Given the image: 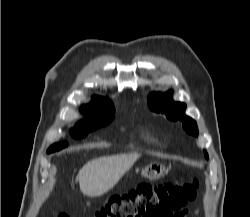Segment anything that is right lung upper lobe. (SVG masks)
Wrapping results in <instances>:
<instances>
[{
    "mask_svg": "<svg viewBox=\"0 0 250 217\" xmlns=\"http://www.w3.org/2000/svg\"><path fill=\"white\" fill-rule=\"evenodd\" d=\"M82 113L86 114L88 118L81 123L89 122L99 116L115 111L112 102L108 98L93 96V100L89 105L81 108Z\"/></svg>",
    "mask_w": 250,
    "mask_h": 217,
    "instance_id": "cb5924a9",
    "label": "right lung upper lobe"
}]
</instances>
